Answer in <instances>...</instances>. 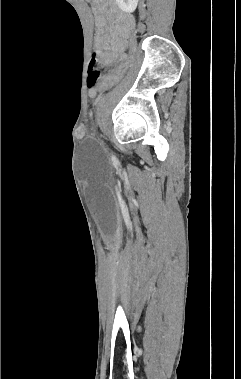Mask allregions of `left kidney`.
<instances>
[{"label": "left kidney", "mask_w": 241, "mask_h": 379, "mask_svg": "<svg viewBox=\"0 0 241 379\" xmlns=\"http://www.w3.org/2000/svg\"><path fill=\"white\" fill-rule=\"evenodd\" d=\"M138 1L139 0H116L119 8L126 13L134 12Z\"/></svg>", "instance_id": "left-kidney-1"}]
</instances>
